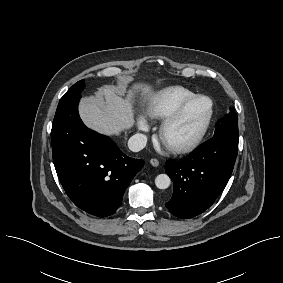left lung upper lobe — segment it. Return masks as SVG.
<instances>
[{
    "label": "left lung upper lobe",
    "mask_w": 283,
    "mask_h": 283,
    "mask_svg": "<svg viewBox=\"0 0 283 283\" xmlns=\"http://www.w3.org/2000/svg\"><path fill=\"white\" fill-rule=\"evenodd\" d=\"M213 138L221 139L238 146V116L233 110L224 119L218 121L215 126Z\"/></svg>",
    "instance_id": "obj_1"
}]
</instances>
